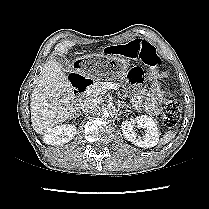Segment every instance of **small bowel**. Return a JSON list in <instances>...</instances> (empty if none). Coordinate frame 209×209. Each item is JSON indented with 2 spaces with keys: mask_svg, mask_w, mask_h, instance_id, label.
Returning a JSON list of instances; mask_svg holds the SVG:
<instances>
[{
  "mask_svg": "<svg viewBox=\"0 0 209 209\" xmlns=\"http://www.w3.org/2000/svg\"><path fill=\"white\" fill-rule=\"evenodd\" d=\"M126 78L131 86L141 88L146 85L148 76L142 68L133 66L128 69ZM163 100V92L157 81H152L149 89H139L133 98V106L138 110H144L149 114L159 113L160 104Z\"/></svg>",
  "mask_w": 209,
  "mask_h": 209,
  "instance_id": "obj_1",
  "label": "small bowel"
}]
</instances>
